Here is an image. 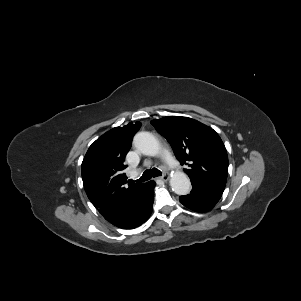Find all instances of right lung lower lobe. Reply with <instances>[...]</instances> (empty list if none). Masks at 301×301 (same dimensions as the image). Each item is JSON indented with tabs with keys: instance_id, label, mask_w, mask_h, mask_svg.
I'll return each instance as SVG.
<instances>
[{
	"instance_id": "98d812e1",
	"label": "right lung lower lobe",
	"mask_w": 301,
	"mask_h": 301,
	"mask_svg": "<svg viewBox=\"0 0 301 301\" xmlns=\"http://www.w3.org/2000/svg\"><path fill=\"white\" fill-rule=\"evenodd\" d=\"M155 182L150 181L143 185L128 213L116 225L122 229L139 227L151 215L154 202Z\"/></svg>"
}]
</instances>
